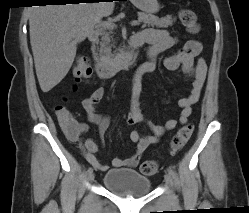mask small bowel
Wrapping results in <instances>:
<instances>
[{"label": "small bowel", "instance_id": "c3829d8e", "mask_svg": "<svg viewBox=\"0 0 249 213\" xmlns=\"http://www.w3.org/2000/svg\"><path fill=\"white\" fill-rule=\"evenodd\" d=\"M135 37L138 46L143 44L148 45V60L137 69L135 74V81L138 83L143 75L155 71L158 55L172 48L178 42V39L165 29L155 28H145ZM201 51L202 44L198 40L188 39L177 53L167 56L164 60V66L167 70L175 71L181 69L191 78L189 95L179 101L181 113L178 120L173 118L168 119L164 125H155L146 121L140 112L138 96L134 93L131 112L127 116L126 123L128 125L145 124L151 131V134L144 135L138 130L131 131L130 140L136 145L135 152L126 159L114 158L112 160V166L114 168L137 166L148 146L157 143L160 137L166 132L173 130L178 122L180 124H186L188 122L192 107L199 100L207 75V64L203 58L199 57ZM137 74H139V76H137ZM104 94L105 88L100 86L82 101L84 111L88 115L89 120L98 126L101 137L104 136L109 126V117L95 113V107L102 100ZM65 112L67 116L65 118L58 117V121L69 139L71 141H77L86 131L87 125L74 119L68 108L65 109ZM81 148L89 164L100 171L108 170V165L100 163L96 158L95 154L99 146L95 140L91 138L86 139Z\"/></svg>", "mask_w": 249, "mask_h": 213}]
</instances>
